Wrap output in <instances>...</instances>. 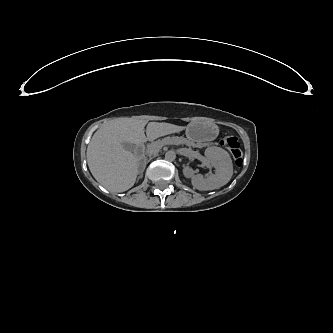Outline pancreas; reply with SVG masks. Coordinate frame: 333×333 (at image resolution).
I'll list each match as a JSON object with an SVG mask.
<instances>
[{"mask_svg": "<svg viewBox=\"0 0 333 333\" xmlns=\"http://www.w3.org/2000/svg\"><path fill=\"white\" fill-rule=\"evenodd\" d=\"M174 143V144H185L187 146H195L193 143L187 141L186 139H165L163 141L160 142H156L155 144H151L148 146L146 153L148 155H153L155 154L158 150L159 147L162 143Z\"/></svg>", "mask_w": 333, "mask_h": 333, "instance_id": "pancreas-1", "label": "pancreas"}]
</instances>
